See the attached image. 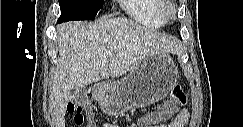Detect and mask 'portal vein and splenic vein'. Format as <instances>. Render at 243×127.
I'll return each mask as SVG.
<instances>
[{"label":"portal vein and splenic vein","instance_id":"portal-vein-and-splenic-vein-1","mask_svg":"<svg viewBox=\"0 0 243 127\" xmlns=\"http://www.w3.org/2000/svg\"><path fill=\"white\" fill-rule=\"evenodd\" d=\"M105 54L110 55V54H112V52L107 50V51H105Z\"/></svg>","mask_w":243,"mask_h":127}]
</instances>
